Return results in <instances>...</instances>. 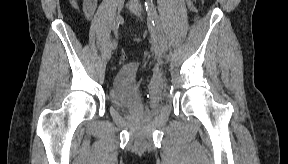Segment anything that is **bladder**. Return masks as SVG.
I'll use <instances>...</instances> for the list:
<instances>
[{
	"label": "bladder",
	"mask_w": 288,
	"mask_h": 164,
	"mask_svg": "<svg viewBox=\"0 0 288 164\" xmlns=\"http://www.w3.org/2000/svg\"><path fill=\"white\" fill-rule=\"evenodd\" d=\"M109 99L120 109H136L153 103V98H146L140 90L134 63L122 66L116 71L109 89Z\"/></svg>",
	"instance_id": "1"
}]
</instances>
